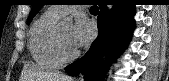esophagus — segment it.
I'll list each match as a JSON object with an SVG mask.
<instances>
[{
    "instance_id": "34e87169",
    "label": "esophagus",
    "mask_w": 169,
    "mask_h": 81,
    "mask_svg": "<svg viewBox=\"0 0 169 81\" xmlns=\"http://www.w3.org/2000/svg\"><path fill=\"white\" fill-rule=\"evenodd\" d=\"M78 81H83V75L82 74L79 75Z\"/></svg>"
}]
</instances>
